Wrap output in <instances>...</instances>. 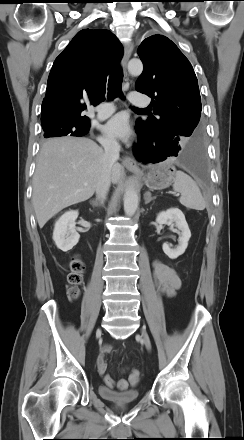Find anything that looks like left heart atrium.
<instances>
[{
	"mask_svg": "<svg viewBox=\"0 0 244 440\" xmlns=\"http://www.w3.org/2000/svg\"><path fill=\"white\" fill-rule=\"evenodd\" d=\"M102 129L107 136L117 140L127 141L131 136L128 117L124 113L111 117Z\"/></svg>",
	"mask_w": 244,
	"mask_h": 440,
	"instance_id": "obj_1",
	"label": "left heart atrium"
}]
</instances>
